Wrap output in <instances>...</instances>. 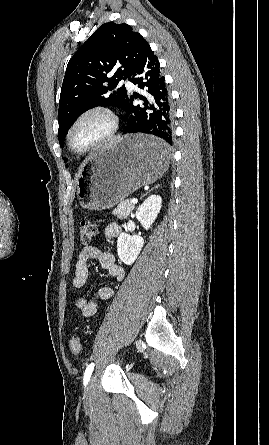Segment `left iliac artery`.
Instances as JSON below:
<instances>
[{
  "label": "left iliac artery",
  "instance_id": "obj_1",
  "mask_svg": "<svg viewBox=\"0 0 269 445\" xmlns=\"http://www.w3.org/2000/svg\"><path fill=\"white\" fill-rule=\"evenodd\" d=\"M94 369V363H91L87 366L85 372H84V377H83V384L84 386H86L90 380L91 374L93 372Z\"/></svg>",
  "mask_w": 269,
  "mask_h": 445
}]
</instances>
